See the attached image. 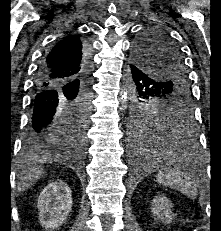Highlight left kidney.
I'll return each instance as SVG.
<instances>
[{
  "label": "left kidney",
  "mask_w": 221,
  "mask_h": 231,
  "mask_svg": "<svg viewBox=\"0 0 221 231\" xmlns=\"http://www.w3.org/2000/svg\"><path fill=\"white\" fill-rule=\"evenodd\" d=\"M152 213L156 221H161L164 224L172 222V202L165 196H156L152 201Z\"/></svg>",
  "instance_id": "5707ae66"
}]
</instances>
